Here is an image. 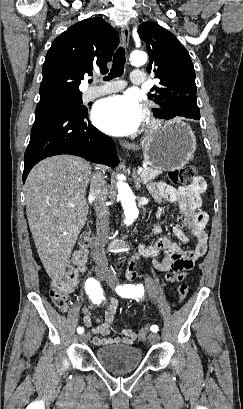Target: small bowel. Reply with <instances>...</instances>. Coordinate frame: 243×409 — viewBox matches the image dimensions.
<instances>
[{
	"instance_id": "c3829d8e",
	"label": "small bowel",
	"mask_w": 243,
	"mask_h": 409,
	"mask_svg": "<svg viewBox=\"0 0 243 409\" xmlns=\"http://www.w3.org/2000/svg\"><path fill=\"white\" fill-rule=\"evenodd\" d=\"M205 191L206 182L201 177L195 178L187 186L178 188L165 182H158L151 186L152 195L157 201L167 200L178 205L184 225L190 230V236H188L180 226L176 225L172 230L174 236L183 244H189L191 239L196 241L195 247L190 250H184L166 237L157 238L152 245L140 246V254L151 258L155 268L165 273L164 278L170 284L186 280L196 261L206 253L208 216L202 210V195ZM160 215L161 211H159ZM158 232L159 229L156 228L154 233ZM129 276L135 279L138 274L131 270ZM83 314L84 325L90 328L94 335L92 342L97 346L118 343L132 345L138 338V335L127 326L121 330V336L117 330L113 329L116 314L115 299H108L104 309L103 322L97 321L96 325H92L93 312L89 307L83 308ZM109 334L113 335V337L106 338L105 335Z\"/></svg>"
}]
</instances>
